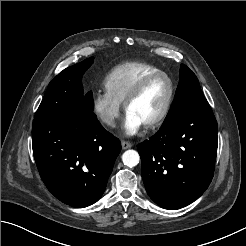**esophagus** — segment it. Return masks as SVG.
Segmentation results:
<instances>
[{"label":"esophagus","instance_id":"34e87169","mask_svg":"<svg viewBox=\"0 0 246 246\" xmlns=\"http://www.w3.org/2000/svg\"><path fill=\"white\" fill-rule=\"evenodd\" d=\"M121 146H122V149H129L132 147V144L130 142H127V141H122L121 142Z\"/></svg>","mask_w":246,"mask_h":246}]
</instances>
